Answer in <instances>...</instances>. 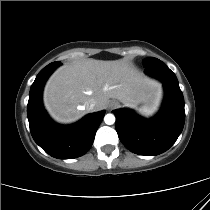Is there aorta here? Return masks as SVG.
Masks as SVG:
<instances>
[{
    "mask_svg": "<svg viewBox=\"0 0 210 210\" xmlns=\"http://www.w3.org/2000/svg\"><path fill=\"white\" fill-rule=\"evenodd\" d=\"M104 121L107 125H112L115 123V116L113 114H106Z\"/></svg>",
    "mask_w": 210,
    "mask_h": 210,
    "instance_id": "1",
    "label": "aorta"
}]
</instances>
